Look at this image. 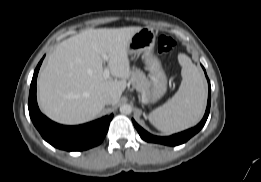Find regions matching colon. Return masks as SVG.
Instances as JSON below:
<instances>
[{
  "label": "colon",
  "instance_id": "obj_1",
  "mask_svg": "<svg viewBox=\"0 0 261 182\" xmlns=\"http://www.w3.org/2000/svg\"><path fill=\"white\" fill-rule=\"evenodd\" d=\"M175 46L173 38L167 35H160L157 40L158 52L162 56H167Z\"/></svg>",
  "mask_w": 261,
  "mask_h": 182
}]
</instances>
